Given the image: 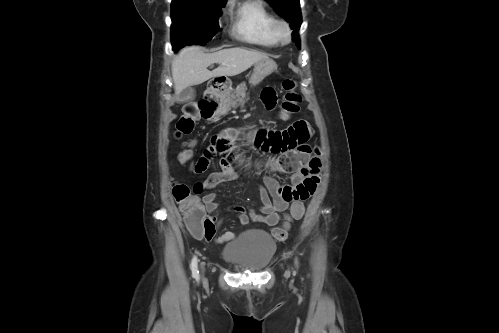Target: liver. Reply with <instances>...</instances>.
<instances>
[{"label": "liver", "instance_id": "1", "mask_svg": "<svg viewBox=\"0 0 499 333\" xmlns=\"http://www.w3.org/2000/svg\"><path fill=\"white\" fill-rule=\"evenodd\" d=\"M264 59H269L267 54L240 47L210 54L204 53L198 46L185 47L172 63L175 93L180 94L187 87L202 84L212 77L239 75ZM213 63L219 66L209 71L207 68Z\"/></svg>", "mask_w": 499, "mask_h": 333}]
</instances>
